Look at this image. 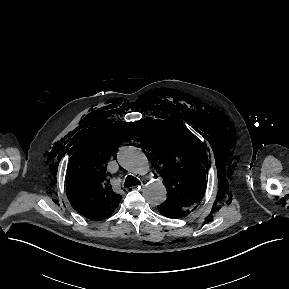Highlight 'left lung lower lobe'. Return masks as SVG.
<instances>
[{"label":"left lung lower lobe","mask_w":289,"mask_h":289,"mask_svg":"<svg viewBox=\"0 0 289 289\" xmlns=\"http://www.w3.org/2000/svg\"><path fill=\"white\" fill-rule=\"evenodd\" d=\"M158 210L159 212L164 215L165 217L168 218H181V217H185L188 215V213L184 212V211H180V210H174L165 206H158Z\"/></svg>","instance_id":"left-lung-lower-lobe-1"}]
</instances>
